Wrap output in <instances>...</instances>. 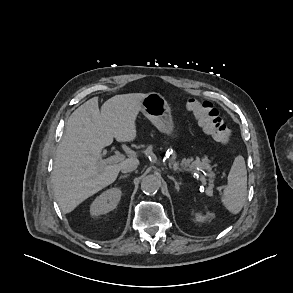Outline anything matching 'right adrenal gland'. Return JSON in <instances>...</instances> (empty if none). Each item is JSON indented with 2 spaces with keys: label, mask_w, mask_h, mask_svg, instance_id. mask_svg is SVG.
Returning a JSON list of instances; mask_svg holds the SVG:
<instances>
[{
  "label": "right adrenal gland",
  "mask_w": 293,
  "mask_h": 293,
  "mask_svg": "<svg viewBox=\"0 0 293 293\" xmlns=\"http://www.w3.org/2000/svg\"><path fill=\"white\" fill-rule=\"evenodd\" d=\"M126 177H127V175H121V176L119 177V179L126 178Z\"/></svg>",
  "instance_id": "2a0ac1e0"
}]
</instances>
